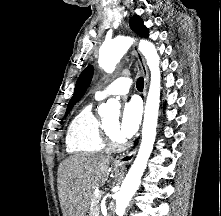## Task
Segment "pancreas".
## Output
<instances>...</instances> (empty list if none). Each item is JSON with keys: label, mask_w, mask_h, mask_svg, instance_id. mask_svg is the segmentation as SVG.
Returning a JSON list of instances; mask_svg holds the SVG:
<instances>
[{"label": "pancreas", "mask_w": 221, "mask_h": 216, "mask_svg": "<svg viewBox=\"0 0 221 216\" xmlns=\"http://www.w3.org/2000/svg\"><path fill=\"white\" fill-rule=\"evenodd\" d=\"M101 199L100 194H93L90 203V216H99V201Z\"/></svg>", "instance_id": "cf45deb5"}]
</instances>
